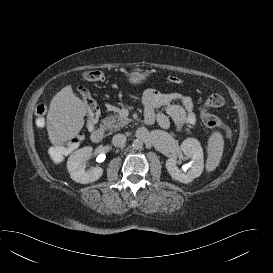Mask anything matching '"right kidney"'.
I'll return each mask as SVG.
<instances>
[{
	"label": "right kidney",
	"mask_w": 273,
	"mask_h": 273,
	"mask_svg": "<svg viewBox=\"0 0 273 273\" xmlns=\"http://www.w3.org/2000/svg\"><path fill=\"white\" fill-rule=\"evenodd\" d=\"M93 148L83 147L73 152L67 161V169L72 180L77 183L87 184L97 181L103 174L101 167L86 170V161L92 155Z\"/></svg>",
	"instance_id": "right-kidney-1"
}]
</instances>
